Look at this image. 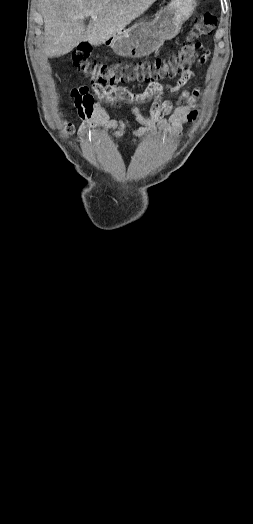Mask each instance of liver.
I'll return each instance as SVG.
<instances>
[{"mask_svg":"<svg viewBox=\"0 0 253 524\" xmlns=\"http://www.w3.org/2000/svg\"><path fill=\"white\" fill-rule=\"evenodd\" d=\"M155 1L40 0L44 19L43 53L46 57L64 55L83 40L98 46L143 14Z\"/></svg>","mask_w":253,"mask_h":524,"instance_id":"liver-1","label":"liver"}]
</instances>
